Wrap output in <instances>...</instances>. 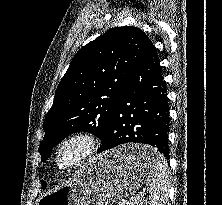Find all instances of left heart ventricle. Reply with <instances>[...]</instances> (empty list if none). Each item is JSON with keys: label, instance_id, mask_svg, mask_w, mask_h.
I'll list each match as a JSON object with an SVG mask.
<instances>
[{"label": "left heart ventricle", "instance_id": "b2bd125f", "mask_svg": "<svg viewBox=\"0 0 222 205\" xmlns=\"http://www.w3.org/2000/svg\"><path fill=\"white\" fill-rule=\"evenodd\" d=\"M80 151V146L78 144H70L66 146L60 155L61 162L67 164L73 161Z\"/></svg>", "mask_w": 222, "mask_h": 205}]
</instances>
